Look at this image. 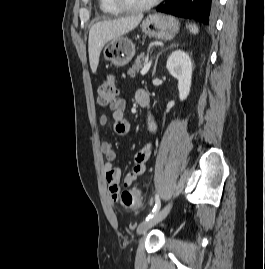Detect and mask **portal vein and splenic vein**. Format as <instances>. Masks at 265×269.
<instances>
[{
  "mask_svg": "<svg viewBox=\"0 0 265 269\" xmlns=\"http://www.w3.org/2000/svg\"><path fill=\"white\" fill-rule=\"evenodd\" d=\"M151 66V61L147 62L141 70V75L147 74Z\"/></svg>",
  "mask_w": 265,
  "mask_h": 269,
  "instance_id": "portal-vein-and-splenic-vein-1",
  "label": "portal vein and splenic vein"
}]
</instances>
